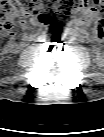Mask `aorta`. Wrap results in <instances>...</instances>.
Instances as JSON below:
<instances>
[{"label": "aorta", "instance_id": "obj_1", "mask_svg": "<svg viewBox=\"0 0 104 137\" xmlns=\"http://www.w3.org/2000/svg\"><path fill=\"white\" fill-rule=\"evenodd\" d=\"M55 40L57 42H63L65 40V35L63 33H57L55 35Z\"/></svg>", "mask_w": 104, "mask_h": 137}]
</instances>
